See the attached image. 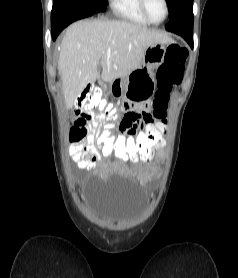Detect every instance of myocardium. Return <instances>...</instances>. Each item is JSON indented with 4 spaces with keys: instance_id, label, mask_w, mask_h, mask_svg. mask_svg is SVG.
I'll list each match as a JSON object with an SVG mask.
<instances>
[{
    "instance_id": "f54148a6",
    "label": "myocardium",
    "mask_w": 238,
    "mask_h": 278,
    "mask_svg": "<svg viewBox=\"0 0 238 278\" xmlns=\"http://www.w3.org/2000/svg\"><path fill=\"white\" fill-rule=\"evenodd\" d=\"M162 1H163V3H164V6H165V15H164V17L162 18V20H160V21H154V20L150 17V15H149V13H148V10H147V0H139L140 9H141L143 15H144L145 18H146L150 23H152V24H161V23H163V22L167 19L168 15H169V4H168V1H167V0H162Z\"/></svg>"
}]
</instances>
